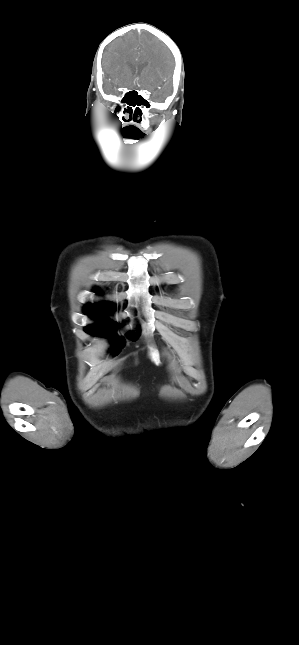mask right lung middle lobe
Wrapping results in <instances>:
<instances>
[{
    "instance_id": "dd1d6c3e",
    "label": "right lung middle lobe",
    "mask_w": 299,
    "mask_h": 645,
    "mask_svg": "<svg viewBox=\"0 0 299 645\" xmlns=\"http://www.w3.org/2000/svg\"><path fill=\"white\" fill-rule=\"evenodd\" d=\"M89 315H90L91 317H93V318L106 319V315H105V314H102V313H101V314H89ZM116 327H117V324H116V325H113V323H112V322L104 321V322H101V323H99V324H97V325H90V326L85 327V332H87V333H89V334L97 335V336H104V335H106L108 332H111V331H113L114 329H116ZM139 336H140V334H138L137 336H135V337L133 338V340H134V341H135V340H137V338H138ZM113 345H114V346L118 345V347H117V348H115V353H116V354H118V353L121 351V348H122V347H124V344H123L122 342H120L119 340H115V341H113Z\"/></svg>"
}]
</instances>
